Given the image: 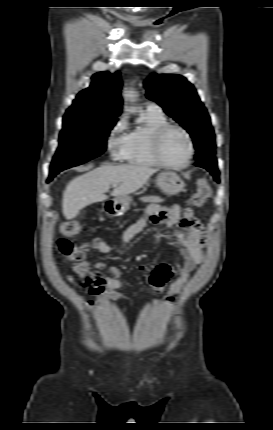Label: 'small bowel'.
<instances>
[{
	"instance_id": "1",
	"label": "small bowel",
	"mask_w": 273,
	"mask_h": 430,
	"mask_svg": "<svg viewBox=\"0 0 273 430\" xmlns=\"http://www.w3.org/2000/svg\"><path fill=\"white\" fill-rule=\"evenodd\" d=\"M148 221L153 224H166L170 228H174L177 224L180 226V229H174V234L181 244L180 256L182 264L179 277L170 282L168 288L169 292L178 293L187 282L190 273L203 261V249L207 244L205 228L189 209L182 211L181 207L176 204H151L147 207L145 215L124 232L121 246L116 251L124 253L128 243L144 229ZM184 230L187 232H184ZM92 248L105 254L112 252L109 242L102 237L95 238L92 241ZM139 268L140 270L145 269L144 266ZM72 269L80 276V282L84 283V287H88V291H91V294L101 296V302L105 303L109 299L121 298L118 290L126 282L120 279V270L118 268L110 267L107 269L108 274L102 275L100 272L105 267L103 264L97 263L96 270L98 274H93L88 269L87 264L81 262L74 264ZM172 274L173 270L169 264L160 265L153 271L150 284L155 289L164 292Z\"/></svg>"
}]
</instances>
